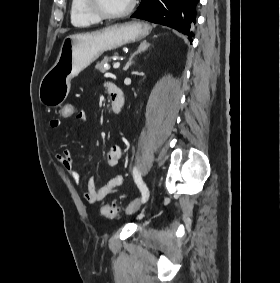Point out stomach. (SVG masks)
<instances>
[{"mask_svg":"<svg viewBox=\"0 0 280 283\" xmlns=\"http://www.w3.org/2000/svg\"><path fill=\"white\" fill-rule=\"evenodd\" d=\"M151 29L145 22L131 21L93 32L68 35L62 42L56 63L40 82V102L46 107L60 106L69 94L72 78L104 52L139 41L145 38Z\"/></svg>","mask_w":280,"mask_h":283,"instance_id":"1","label":"stomach"}]
</instances>
